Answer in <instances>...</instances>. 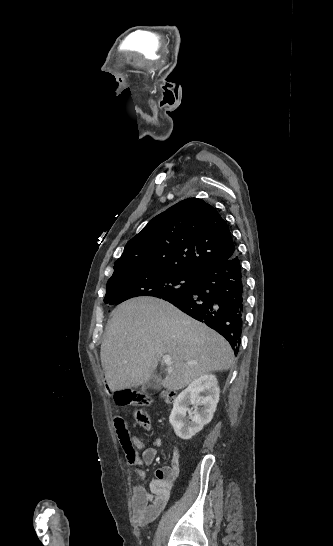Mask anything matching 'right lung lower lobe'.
<instances>
[{
  "label": "right lung lower lobe",
  "mask_w": 333,
  "mask_h": 546,
  "mask_svg": "<svg viewBox=\"0 0 333 546\" xmlns=\"http://www.w3.org/2000/svg\"><path fill=\"white\" fill-rule=\"evenodd\" d=\"M162 299L216 330L230 343L234 353H238L246 295L237 253L202 272L189 292Z\"/></svg>",
  "instance_id": "1"
}]
</instances>
